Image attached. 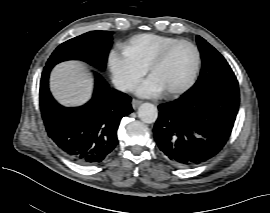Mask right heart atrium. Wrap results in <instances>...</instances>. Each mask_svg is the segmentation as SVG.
<instances>
[{"mask_svg":"<svg viewBox=\"0 0 270 213\" xmlns=\"http://www.w3.org/2000/svg\"><path fill=\"white\" fill-rule=\"evenodd\" d=\"M109 62L115 83L126 91L132 90L139 84L147 71V67L132 62L127 57L124 48L120 53L113 51Z\"/></svg>","mask_w":270,"mask_h":213,"instance_id":"obj_1","label":"right heart atrium"}]
</instances>
